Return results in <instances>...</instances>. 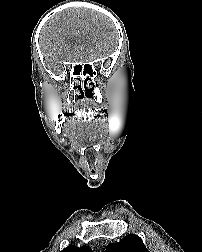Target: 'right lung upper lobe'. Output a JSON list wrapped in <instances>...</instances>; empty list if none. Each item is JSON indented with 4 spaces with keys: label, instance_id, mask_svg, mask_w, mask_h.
<instances>
[{
    "label": "right lung upper lobe",
    "instance_id": "right-lung-upper-lobe-1",
    "mask_svg": "<svg viewBox=\"0 0 202 252\" xmlns=\"http://www.w3.org/2000/svg\"><path fill=\"white\" fill-rule=\"evenodd\" d=\"M61 252H92V250L89 246L77 247L74 245H69L68 247L63 249Z\"/></svg>",
    "mask_w": 202,
    "mask_h": 252
}]
</instances>
